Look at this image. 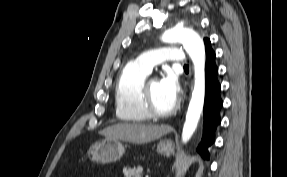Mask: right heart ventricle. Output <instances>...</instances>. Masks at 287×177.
I'll return each instance as SVG.
<instances>
[{
	"mask_svg": "<svg viewBox=\"0 0 287 177\" xmlns=\"http://www.w3.org/2000/svg\"><path fill=\"white\" fill-rule=\"evenodd\" d=\"M149 74L134 63L122 70L114 92L115 114L119 121L139 123L149 119L141 103L142 88Z\"/></svg>",
	"mask_w": 287,
	"mask_h": 177,
	"instance_id": "1",
	"label": "right heart ventricle"
}]
</instances>
